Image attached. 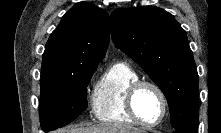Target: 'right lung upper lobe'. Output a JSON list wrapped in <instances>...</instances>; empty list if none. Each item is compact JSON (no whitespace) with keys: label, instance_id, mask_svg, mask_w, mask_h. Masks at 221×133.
I'll list each match as a JSON object with an SVG mask.
<instances>
[{"label":"right lung upper lobe","instance_id":"obj_1","mask_svg":"<svg viewBox=\"0 0 221 133\" xmlns=\"http://www.w3.org/2000/svg\"><path fill=\"white\" fill-rule=\"evenodd\" d=\"M110 35L108 13L87 2L76 3L51 33L42 56V72L76 64L99 63Z\"/></svg>","mask_w":221,"mask_h":133}]
</instances>
